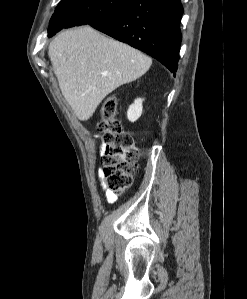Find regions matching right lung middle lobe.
<instances>
[{
	"label": "right lung middle lobe",
	"instance_id": "right-lung-middle-lobe-1",
	"mask_svg": "<svg viewBox=\"0 0 247 299\" xmlns=\"http://www.w3.org/2000/svg\"><path fill=\"white\" fill-rule=\"evenodd\" d=\"M132 0H61L50 20L49 36L63 28L91 24L105 19Z\"/></svg>",
	"mask_w": 247,
	"mask_h": 299
}]
</instances>
